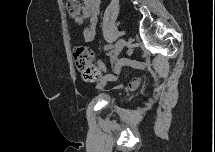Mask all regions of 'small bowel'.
Returning a JSON list of instances; mask_svg holds the SVG:
<instances>
[{
	"label": "small bowel",
	"instance_id": "1",
	"mask_svg": "<svg viewBox=\"0 0 215 152\" xmlns=\"http://www.w3.org/2000/svg\"><path fill=\"white\" fill-rule=\"evenodd\" d=\"M89 19V24L83 29V38L86 42H91L96 36L98 19H99V1L98 0H84V6L82 8V16L75 18L76 25H81L83 20ZM128 64L127 60H124L115 67V75L107 74V69L102 61L98 62L99 71L96 77L88 81H99L100 85H104L108 80H116L121 71L123 65ZM141 85L139 77H133L131 81L126 85V92H134Z\"/></svg>",
	"mask_w": 215,
	"mask_h": 152
}]
</instances>
